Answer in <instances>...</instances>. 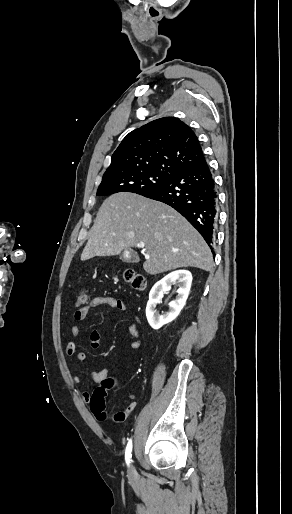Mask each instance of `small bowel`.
<instances>
[{
  "instance_id": "c3829d8e",
  "label": "small bowel",
  "mask_w": 292,
  "mask_h": 514,
  "mask_svg": "<svg viewBox=\"0 0 292 514\" xmlns=\"http://www.w3.org/2000/svg\"><path fill=\"white\" fill-rule=\"evenodd\" d=\"M103 306H107V307L117 310L119 312L130 313L129 306L122 299L112 297V296H95L92 299H90V301L88 302V304L85 307L76 310L73 314V318L76 322H82L87 318L89 311L91 309L103 307ZM139 327H140V320L138 317H135L134 322H132L129 326V330H130V334H131V347L134 349H137L141 346V341L139 339ZM70 333H71L73 340H70L67 343L66 352L69 355H74L75 362L77 364H80V363L84 362V360H85V354L83 352H79L77 350L78 344L75 341V339L78 338L80 335V328L77 325H73L71 327ZM90 342H91L92 348H94V349H97L100 346V333L98 330H93L90 333ZM104 369H107V366H104ZM106 376H107L106 370L92 372L90 374L91 379L94 381H100V380L104 379ZM72 381L75 385H78V386H81L83 384V381H82L76 367L74 368V373L72 375ZM81 398L84 402L89 401L90 393L87 391L82 392ZM129 400L131 401V404L133 406H136L138 404L137 397L135 395H131L129 397Z\"/></svg>"
}]
</instances>
